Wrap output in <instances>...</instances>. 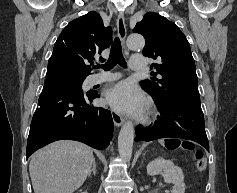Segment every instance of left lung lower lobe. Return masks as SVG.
Masks as SVG:
<instances>
[{
	"label": "left lung lower lobe",
	"instance_id": "1",
	"mask_svg": "<svg viewBox=\"0 0 237 193\" xmlns=\"http://www.w3.org/2000/svg\"><path fill=\"white\" fill-rule=\"evenodd\" d=\"M161 115L152 127H136L135 141L175 137L195 141L209 151L204 116L198 100L164 103L154 100Z\"/></svg>",
	"mask_w": 237,
	"mask_h": 193
}]
</instances>
